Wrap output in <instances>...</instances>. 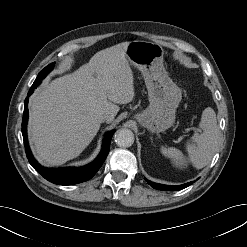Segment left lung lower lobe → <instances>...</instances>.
Returning <instances> with one entry per match:
<instances>
[{
  "instance_id": "1",
  "label": "left lung lower lobe",
  "mask_w": 247,
  "mask_h": 247,
  "mask_svg": "<svg viewBox=\"0 0 247 247\" xmlns=\"http://www.w3.org/2000/svg\"><path fill=\"white\" fill-rule=\"evenodd\" d=\"M145 180L153 188H155L157 190H162V191L181 190V189H184V188L188 187L189 185H191L193 183V182H189V183H186V184H183V185H179V186H169V185L157 184V183L148 181L147 179H145Z\"/></svg>"
}]
</instances>
